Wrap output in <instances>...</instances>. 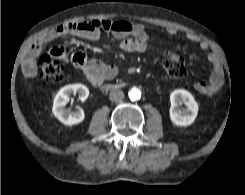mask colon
<instances>
[{"label":"colon","instance_id":"5ec220e1","mask_svg":"<svg viewBox=\"0 0 245 195\" xmlns=\"http://www.w3.org/2000/svg\"><path fill=\"white\" fill-rule=\"evenodd\" d=\"M40 78L45 82H58L63 79L65 65L63 59L56 56L43 55L39 61ZM164 70L170 78H180L186 74L183 57L176 51L167 54Z\"/></svg>","mask_w":245,"mask_h":195}]
</instances>
